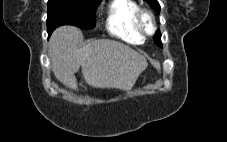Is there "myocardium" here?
Returning <instances> with one entry per match:
<instances>
[{
	"instance_id": "obj_1",
	"label": "myocardium",
	"mask_w": 227,
	"mask_h": 142,
	"mask_svg": "<svg viewBox=\"0 0 227 142\" xmlns=\"http://www.w3.org/2000/svg\"><path fill=\"white\" fill-rule=\"evenodd\" d=\"M137 24L139 30L145 36H151L156 32L155 17L150 10L140 9L137 15Z\"/></svg>"
}]
</instances>
